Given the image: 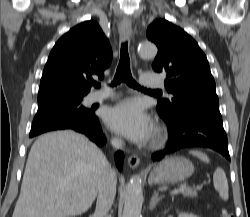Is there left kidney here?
Wrapping results in <instances>:
<instances>
[{"label": "left kidney", "instance_id": "obj_1", "mask_svg": "<svg viewBox=\"0 0 250 217\" xmlns=\"http://www.w3.org/2000/svg\"><path fill=\"white\" fill-rule=\"evenodd\" d=\"M178 217H197V216L194 214L180 213Z\"/></svg>", "mask_w": 250, "mask_h": 217}]
</instances>
